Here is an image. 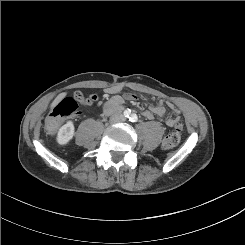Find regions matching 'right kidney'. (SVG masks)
Masks as SVG:
<instances>
[{
    "label": "right kidney",
    "instance_id": "ca27d5eb",
    "mask_svg": "<svg viewBox=\"0 0 245 245\" xmlns=\"http://www.w3.org/2000/svg\"><path fill=\"white\" fill-rule=\"evenodd\" d=\"M75 133L73 122L69 121L64 124L58 131L56 140L60 145H66L72 140Z\"/></svg>",
    "mask_w": 245,
    "mask_h": 245
}]
</instances>
